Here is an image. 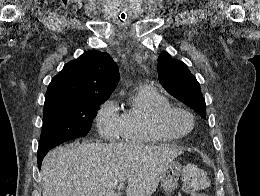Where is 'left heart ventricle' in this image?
I'll return each instance as SVG.
<instances>
[{"instance_id": "left-heart-ventricle-1", "label": "left heart ventricle", "mask_w": 260, "mask_h": 196, "mask_svg": "<svg viewBox=\"0 0 260 196\" xmlns=\"http://www.w3.org/2000/svg\"><path fill=\"white\" fill-rule=\"evenodd\" d=\"M159 112L160 111L158 110L154 111L153 121H155L158 118ZM173 124L180 129H185L188 126L187 121L183 117L178 115L173 117Z\"/></svg>"}]
</instances>
